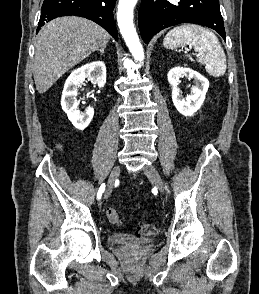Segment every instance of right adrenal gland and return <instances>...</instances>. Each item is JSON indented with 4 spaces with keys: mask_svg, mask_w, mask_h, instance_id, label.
Instances as JSON below:
<instances>
[{
    "mask_svg": "<svg viewBox=\"0 0 259 294\" xmlns=\"http://www.w3.org/2000/svg\"><path fill=\"white\" fill-rule=\"evenodd\" d=\"M105 48H106V45L102 46L98 51L100 52V54L104 55L105 53Z\"/></svg>",
    "mask_w": 259,
    "mask_h": 294,
    "instance_id": "right-adrenal-gland-1",
    "label": "right adrenal gland"
}]
</instances>
